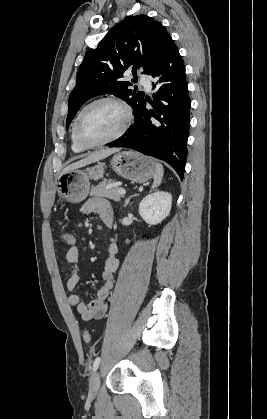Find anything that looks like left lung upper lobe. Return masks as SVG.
I'll use <instances>...</instances> for the list:
<instances>
[{"mask_svg": "<svg viewBox=\"0 0 267 419\" xmlns=\"http://www.w3.org/2000/svg\"><path fill=\"white\" fill-rule=\"evenodd\" d=\"M170 40L165 27L146 15L130 16L117 24L97 48L88 51L79 67L76 86L69 97L66 129L79 108L97 95L113 94L134 110L144 93L129 89L132 83L123 80V74L132 71L135 76L139 68L149 74Z\"/></svg>", "mask_w": 267, "mask_h": 419, "instance_id": "left-lung-upper-lobe-1", "label": "left lung upper lobe"}]
</instances>
